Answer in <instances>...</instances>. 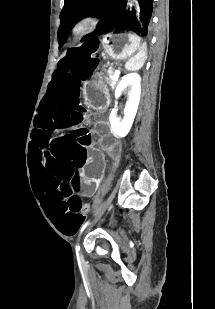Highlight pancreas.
I'll list each match as a JSON object with an SVG mask.
<instances>
[{"label": "pancreas", "mask_w": 215, "mask_h": 309, "mask_svg": "<svg viewBox=\"0 0 215 309\" xmlns=\"http://www.w3.org/2000/svg\"><path fill=\"white\" fill-rule=\"evenodd\" d=\"M114 76V70H111V72H108L107 76H105L104 80L107 82V84H110V86H115L117 84L118 80H114L112 78Z\"/></svg>", "instance_id": "obj_1"}]
</instances>
